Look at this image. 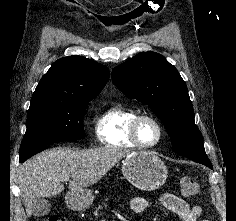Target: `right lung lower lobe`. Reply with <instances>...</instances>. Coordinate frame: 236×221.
<instances>
[{"label":"right lung lower lobe","mask_w":236,"mask_h":221,"mask_svg":"<svg viewBox=\"0 0 236 221\" xmlns=\"http://www.w3.org/2000/svg\"><path fill=\"white\" fill-rule=\"evenodd\" d=\"M46 148H47V145L46 146H40V147L32 148L30 150H27V151H24V152L20 153L19 162L23 163L25 160H27L31 156H33V155L43 151Z\"/></svg>","instance_id":"obj_1"}]
</instances>
